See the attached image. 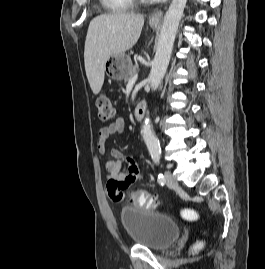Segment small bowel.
<instances>
[{"label":"small bowel","mask_w":265,"mask_h":269,"mask_svg":"<svg viewBox=\"0 0 265 269\" xmlns=\"http://www.w3.org/2000/svg\"><path fill=\"white\" fill-rule=\"evenodd\" d=\"M124 120L118 119L114 123L99 129L97 150L100 154H109L110 158L105 162L107 188L113 202H121L124 198V190L136 184L142 179L143 168L132 157L125 156L118 149H107L106 141L112 135L122 133Z\"/></svg>","instance_id":"obj_1"}]
</instances>
